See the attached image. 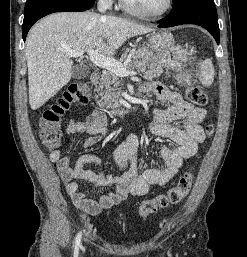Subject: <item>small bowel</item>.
Here are the masks:
<instances>
[{
  "instance_id": "1",
  "label": "small bowel",
  "mask_w": 247,
  "mask_h": 257,
  "mask_svg": "<svg viewBox=\"0 0 247 257\" xmlns=\"http://www.w3.org/2000/svg\"><path fill=\"white\" fill-rule=\"evenodd\" d=\"M143 92H152L158 105L152 112V119L145 131L149 134L167 138L175 144V148L163 146L160 156L163 160L161 168L151 167L139 172L135 153L140 145L141 135L131 134L112 152V157L120 170L119 175L107 174L102 170L101 160L93 154L80 155L72 165L70 157L62 156L60 150H53L49 160L55 165L65 185L67 194L73 203L83 212L97 215L102 210L120 204L129 195L143 196L154 186H163L171 181L179 172L183 161L195 155L199 144L205 140L201 123L206 118V110L186 102L182 96L170 91L163 84L154 82L142 85ZM183 121L182 126L177 124ZM105 115L98 110L91 112L86 120H70L66 133H84L89 135L82 143L83 148L95 145L102 135L107 133ZM91 164L96 171L87 170L85 165ZM77 179L87 180L98 187L115 186V190L102 195L98 200L88 198L79 190Z\"/></svg>"
}]
</instances>
